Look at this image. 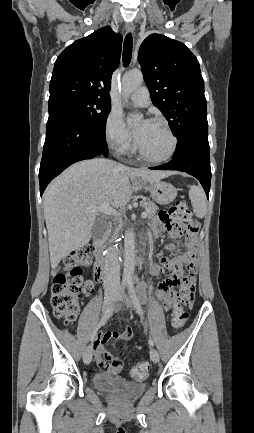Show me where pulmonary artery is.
Wrapping results in <instances>:
<instances>
[{
    "mask_svg": "<svg viewBox=\"0 0 254 433\" xmlns=\"http://www.w3.org/2000/svg\"><path fill=\"white\" fill-rule=\"evenodd\" d=\"M130 101L134 106L146 107L149 104V92L146 87L138 88L130 96Z\"/></svg>",
    "mask_w": 254,
    "mask_h": 433,
    "instance_id": "pulmonary-artery-1",
    "label": "pulmonary artery"
}]
</instances>
